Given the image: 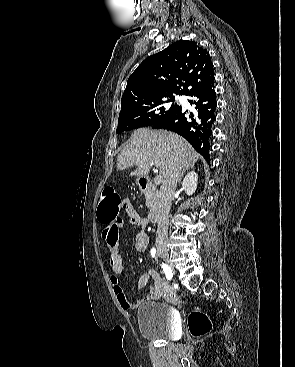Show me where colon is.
Here are the masks:
<instances>
[{"label":"colon","mask_w":295,"mask_h":367,"mask_svg":"<svg viewBox=\"0 0 295 367\" xmlns=\"http://www.w3.org/2000/svg\"><path fill=\"white\" fill-rule=\"evenodd\" d=\"M123 201L111 186H106L100 197L98 217L100 222L109 223L118 218ZM188 328L192 336L201 337L212 329L210 318L201 310H193L188 316Z\"/></svg>","instance_id":"1"}]
</instances>
